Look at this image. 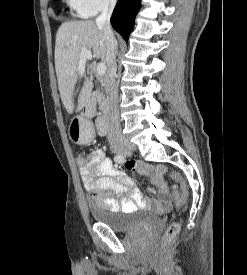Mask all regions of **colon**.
Masks as SVG:
<instances>
[{"instance_id": "1", "label": "colon", "mask_w": 247, "mask_h": 275, "mask_svg": "<svg viewBox=\"0 0 247 275\" xmlns=\"http://www.w3.org/2000/svg\"><path fill=\"white\" fill-rule=\"evenodd\" d=\"M78 161L83 163L85 161L83 156L78 157ZM137 162L128 161L126 163V167L129 170L135 169ZM169 177L172 181L178 182L180 185L172 186V194L176 199V203L178 207H182L185 205L188 198V188L186 183L184 182L182 176L177 172H171ZM180 230V224L178 222H172L167 229L165 230L162 236V245L164 248H167L173 240L176 238Z\"/></svg>"}]
</instances>
